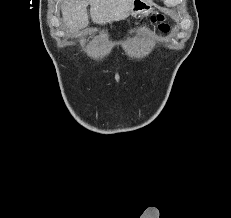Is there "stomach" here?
Instances as JSON below:
<instances>
[{"instance_id": "obj_1", "label": "stomach", "mask_w": 231, "mask_h": 218, "mask_svg": "<svg viewBox=\"0 0 231 218\" xmlns=\"http://www.w3.org/2000/svg\"><path fill=\"white\" fill-rule=\"evenodd\" d=\"M152 11L151 0H133L130 14L132 16L149 14Z\"/></svg>"}]
</instances>
